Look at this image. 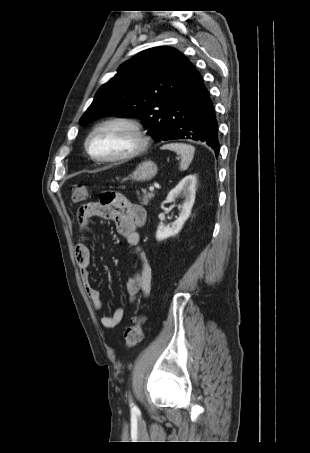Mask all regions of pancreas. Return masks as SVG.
Masks as SVG:
<instances>
[{"label": "pancreas", "mask_w": 310, "mask_h": 453, "mask_svg": "<svg viewBox=\"0 0 310 453\" xmlns=\"http://www.w3.org/2000/svg\"><path fill=\"white\" fill-rule=\"evenodd\" d=\"M143 195L142 197H138L139 201L141 202L142 205L147 206L150 200H152L155 196L154 193H147L146 190H142Z\"/></svg>", "instance_id": "obj_1"}]
</instances>
